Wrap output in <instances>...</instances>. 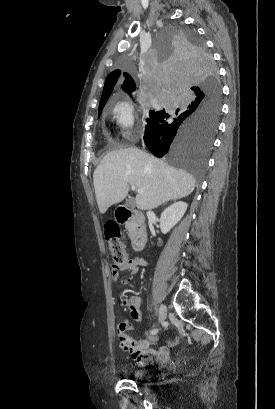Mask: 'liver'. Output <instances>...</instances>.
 <instances>
[{
    "label": "liver",
    "instance_id": "1",
    "mask_svg": "<svg viewBox=\"0 0 275 409\" xmlns=\"http://www.w3.org/2000/svg\"><path fill=\"white\" fill-rule=\"evenodd\" d=\"M93 184L100 213L121 202L129 184L143 190L136 194V207L145 211L156 209L170 198L187 196L195 188V178L187 170L174 168L165 160L130 146L103 156L93 172Z\"/></svg>",
    "mask_w": 275,
    "mask_h": 409
}]
</instances>
